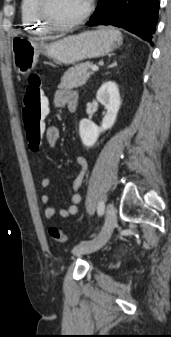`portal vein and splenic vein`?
I'll return each instance as SVG.
<instances>
[{
	"label": "portal vein and splenic vein",
	"mask_w": 171,
	"mask_h": 337,
	"mask_svg": "<svg viewBox=\"0 0 171 337\" xmlns=\"http://www.w3.org/2000/svg\"><path fill=\"white\" fill-rule=\"evenodd\" d=\"M91 70H92V71H97V70H98V66H96V65L92 66V67H91Z\"/></svg>",
	"instance_id": "portal-vein-and-splenic-vein-1"
}]
</instances>
